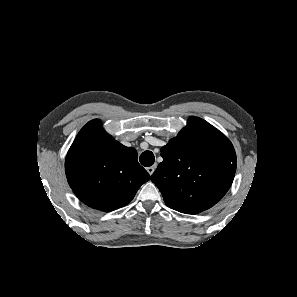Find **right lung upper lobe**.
Here are the masks:
<instances>
[{"label": "right lung upper lobe", "instance_id": "right-lung-upper-lobe-1", "mask_svg": "<svg viewBox=\"0 0 297 297\" xmlns=\"http://www.w3.org/2000/svg\"><path fill=\"white\" fill-rule=\"evenodd\" d=\"M65 172L76 196L105 212L127 205L150 178L136 150L113 139L97 119L78 133L67 153Z\"/></svg>", "mask_w": 297, "mask_h": 297}]
</instances>
